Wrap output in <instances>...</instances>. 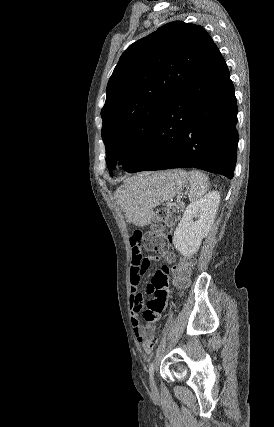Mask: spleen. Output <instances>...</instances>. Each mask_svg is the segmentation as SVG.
Instances as JSON below:
<instances>
[{
  "label": "spleen",
  "mask_w": 274,
  "mask_h": 427,
  "mask_svg": "<svg viewBox=\"0 0 274 427\" xmlns=\"http://www.w3.org/2000/svg\"><path fill=\"white\" fill-rule=\"evenodd\" d=\"M189 188H188V198L190 202H197L200 198L205 196L208 190V178L202 172L198 170H192L189 172Z\"/></svg>",
  "instance_id": "1"
}]
</instances>
